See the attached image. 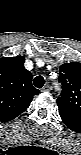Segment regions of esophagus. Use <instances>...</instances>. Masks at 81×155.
I'll list each match as a JSON object with an SVG mask.
<instances>
[{
    "instance_id": "34e87169",
    "label": "esophagus",
    "mask_w": 81,
    "mask_h": 155,
    "mask_svg": "<svg viewBox=\"0 0 81 155\" xmlns=\"http://www.w3.org/2000/svg\"><path fill=\"white\" fill-rule=\"evenodd\" d=\"M50 86L48 84L44 85L43 88L41 89L42 92L50 91Z\"/></svg>"
}]
</instances>
